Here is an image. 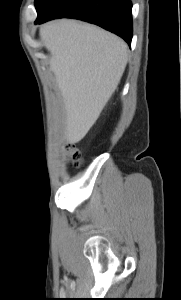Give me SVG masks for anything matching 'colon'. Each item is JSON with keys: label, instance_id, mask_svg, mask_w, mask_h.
Wrapping results in <instances>:
<instances>
[{"label": "colon", "instance_id": "colon-1", "mask_svg": "<svg viewBox=\"0 0 181 300\" xmlns=\"http://www.w3.org/2000/svg\"><path fill=\"white\" fill-rule=\"evenodd\" d=\"M69 160L75 168H79L83 164V158L78 150L72 147L67 148Z\"/></svg>", "mask_w": 181, "mask_h": 300}]
</instances>
